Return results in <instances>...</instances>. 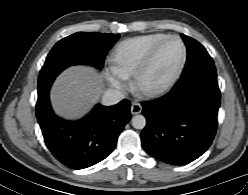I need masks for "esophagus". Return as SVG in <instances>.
Segmentation results:
<instances>
[{"label":"esophagus","instance_id":"obj_1","mask_svg":"<svg viewBox=\"0 0 248 195\" xmlns=\"http://www.w3.org/2000/svg\"><path fill=\"white\" fill-rule=\"evenodd\" d=\"M130 111H131V114H132V115H136V114L141 113V111H142V106H141V104H140V103H137V102H133V103L131 104V109H130Z\"/></svg>","mask_w":248,"mask_h":195}]
</instances>
